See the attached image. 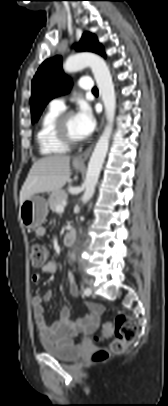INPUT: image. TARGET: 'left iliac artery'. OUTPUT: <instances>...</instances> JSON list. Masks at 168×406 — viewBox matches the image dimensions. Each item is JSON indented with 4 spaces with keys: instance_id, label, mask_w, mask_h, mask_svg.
<instances>
[{
    "instance_id": "left-iliac-artery-1",
    "label": "left iliac artery",
    "mask_w": 168,
    "mask_h": 406,
    "mask_svg": "<svg viewBox=\"0 0 168 406\" xmlns=\"http://www.w3.org/2000/svg\"><path fill=\"white\" fill-rule=\"evenodd\" d=\"M91 293H92V291H91L90 288H85V289H84V294H85L86 296H89Z\"/></svg>"
}]
</instances>
